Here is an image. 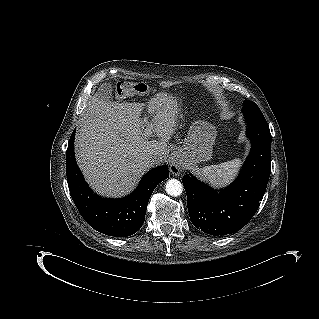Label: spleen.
Masks as SVG:
<instances>
[{"label":"spleen","instance_id":"3e777b00","mask_svg":"<svg viewBox=\"0 0 319 319\" xmlns=\"http://www.w3.org/2000/svg\"><path fill=\"white\" fill-rule=\"evenodd\" d=\"M241 159H233L218 165L204 166L198 169V174L212 186H221L229 183L238 172Z\"/></svg>","mask_w":319,"mask_h":319}]
</instances>
